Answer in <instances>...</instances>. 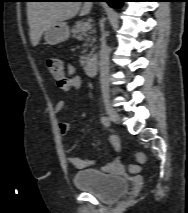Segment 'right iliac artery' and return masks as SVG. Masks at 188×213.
<instances>
[{"instance_id": "1", "label": "right iliac artery", "mask_w": 188, "mask_h": 213, "mask_svg": "<svg viewBox=\"0 0 188 213\" xmlns=\"http://www.w3.org/2000/svg\"><path fill=\"white\" fill-rule=\"evenodd\" d=\"M101 122L105 127H109L111 125V120L106 116L101 118Z\"/></svg>"}]
</instances>
